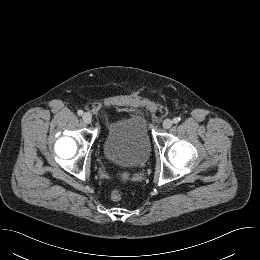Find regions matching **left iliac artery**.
<instances>
[{"instance_id": "1", "label": "left iliac artery", "mask_w": 260, "mask_h": 260, "mask_svg": "<svg viewBox=\"0 0 260 260\" xmlns=\"http://www.w3.org/2000/svg\"><path fill=\"white\" fill-rule=\"evenodd\" d=\"M180 120H181L180 117H175V118L173 119V123L177 124Z\"/></svg>"}]
</instances>
